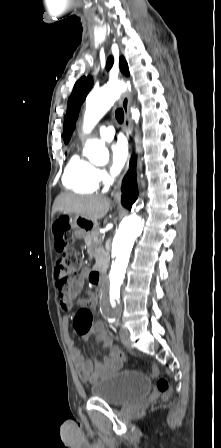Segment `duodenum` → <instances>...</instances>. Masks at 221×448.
Wrapping results in <instances>:
<instances>
[{
	"mask_svg": "<svg viewBox=\"0 0 221 448\" xmlns=\"http://www.w3.org/2000/svg\"><path fill=\"white\" fill-rule=\"evenodd\" d=\"M89 279L91 281V283H93L94 285H101L102 283V271L101 270H93L90 273Z\"/></svg>",
	"mask_w": 221,
	"mask_h": 448,
	"instance_id": "obj_1",
	"label": "duodenum"
}]
</instances>
